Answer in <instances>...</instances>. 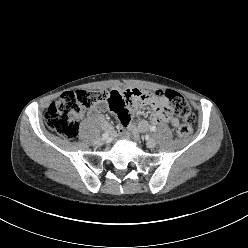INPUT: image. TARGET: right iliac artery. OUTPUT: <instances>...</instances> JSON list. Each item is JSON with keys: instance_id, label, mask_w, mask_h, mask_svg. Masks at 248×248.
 Wrapping results in <instances>:
<instances>
[{"instance_id": "82829eb1", "label": "right iliac artery", "mask_w": 248, "mask_h": 248, "mask_svg": "<svg viewBox=\"0 0 248 248\" xmlns=\"http://www.w3.org/2000/svg\"><path fill=\"white\" fill-rule=\"evenodd\" d=\"M102 138H103V139L108 138V134H107V133H104V134L102 135Z\"/></svg>"}]
</instances>
